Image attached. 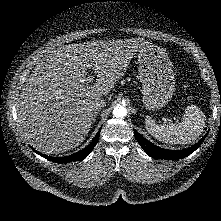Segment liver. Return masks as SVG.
Instances as JSON below:
<instances>
[{
    "label": "liver",
    "instance_id": "1",
    "mask_svg": "<svg viewBox=\"0 0 221 221\" xmlns=\"http://www.w3.org/2000/svg\"><path fill=\"white\" fill-rule=\"evenodd\" d=\"M150 42L141 39L93 41L62 46L38 64L19 98V125L30 144L44 154L79 146L92 125V102L110 93L130 61ZM97 80H85L88 68Z\"/></svg>",
    "mask_w": 221,
    "mask_h": 221
}]
</instances>
